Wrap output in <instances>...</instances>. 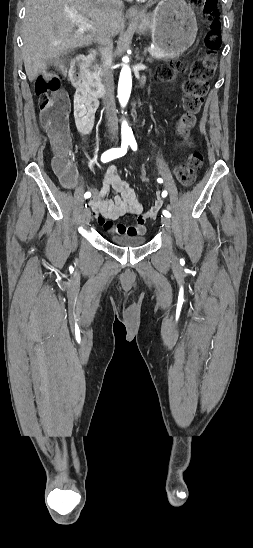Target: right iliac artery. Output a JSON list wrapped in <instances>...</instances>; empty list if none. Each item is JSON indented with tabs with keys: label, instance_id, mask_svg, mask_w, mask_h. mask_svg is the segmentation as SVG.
Segmentation results:
<instances>
[{
	"label": "right iliac artery",
	"instance_id": "right-iliac-artery-1",
	"mask_svg": "<svg viewBox=\"0 0 253 548\" xmlns=\"http://www.w3.org/2000/svg\"><path fill=\"white\" fill-rule=\"evenodd\" d=\"M128 145H129L128 141H123L120 148H112V149H109V150L105 151L101 156V161L103 163H106V162H109V161H111L115 158H119V157L124 156L127 153ZM84 197L85 198L91 197V193L86 192L84 194Z\"/></svg>",
	"mask_w": 253,
	"mask_h": 548
}]
</instances>
